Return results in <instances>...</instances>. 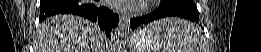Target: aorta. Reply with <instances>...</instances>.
<instances>
[{"mask_svg":"<svg viewBox=\"0 0 261 52\" xmlns=\"http://www.w3.org/2000/svg\"><path fill=\"white\" fill-rule=\"evenodd\" d=\"M113 43L115 45V50L120 52L123 50L124 46V30L121 27L115 29L113 34Z\"/></svg>","mask_w":261,"mask_h":52,"instance_id":"aorta-1","label":"aorta"}]
</instances>
